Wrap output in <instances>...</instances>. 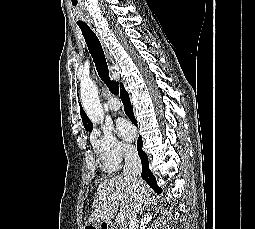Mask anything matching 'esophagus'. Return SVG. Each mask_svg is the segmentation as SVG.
I'll list each match as a JSON object with an SVG mask.
<instances>
[{"label": "esophagus", "instance_id": "34e87169", "mask_svg": "<svg viewBox=\"0 0 255 229\" xmlns=\"http://www.w3.org/2000/svg\"><path fill=\"white\" fill-rule=\"evenodd\" d=\"M89 26H90V27L93 29V31L97 34L98 38H99L100 41H101V44H102L103 50H104V52H105V55H106V57L108 58V60H110V54H109V52H108V49H107L106 45L102 43V40H101V38L99 37V34H98V32H97L96 27L94 26V24H93L92 22H89Z\"/></svg>", "mask_w": 255, "mask_h": 229}]
</instances>
